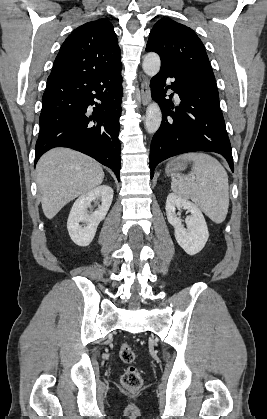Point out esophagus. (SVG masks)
Returning a JSON list of instances; mask_svg holds the SVG:
<instances>
[{"label":"esophagus","instance_id":"34e87169","mask_svg":"<svg viewBox=\"0 0 267 419\" xmlns=\"http://www.w3.org/2000/svg\"><path fill=\"white\" fill-rule=\"evenodd\" d=\"M141 101L143 105L149 104L151 100V93H150V87H149V79L145 77L141 84Z\"/></svg>","mask_w":267,"mask_h":419}]
</instances>
